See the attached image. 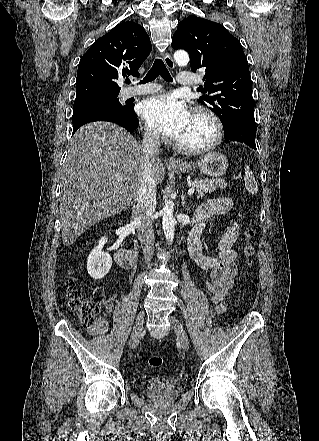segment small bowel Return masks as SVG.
Instances as JSON below:
<instances>
[{
    "mask_svg": "<svg viewBox=\"0 0 319 441\" xmlns=\"http://www.w3.org/2000/svg\"><path fill=\"white\" fill-rule=\"evenodd\" d=\"M232 208V200L228 197L211 199L203 203L194 213V225L188 237V252L192 260L203 270L208 271L206 288L216 305L217 312L225 309L224 298L232 289L237 275V250L235 243L239 234V225L233 221L223 233L218 243L217 256H209L203 253L201 235L209 221L215 216L223 215ZM113 303L108 302L104 306V312L110 316L113 311ZM109 330V322L106 317H98L88 333L92 336H103Z\"/></svg>",
    "mask_w": 319,
    "mask_h": 441,
    "instance_id": "obj_1",
    "label": "small bowel"
}]
</instances>
